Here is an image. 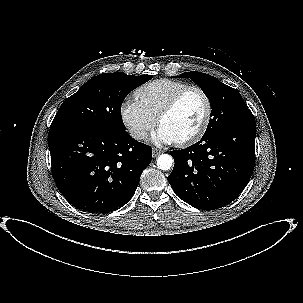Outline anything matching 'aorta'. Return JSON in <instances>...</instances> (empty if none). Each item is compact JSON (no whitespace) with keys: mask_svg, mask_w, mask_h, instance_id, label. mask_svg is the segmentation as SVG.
<instances>
[{"mask_svg":"<svg viewBox=\"0 0 303 303\" xmlns=\"http://www.w3.org/2000/svg\"><path fill=\"white\" fill-rule=\"evenodd\" d=\"M173 158L171 155L169 154H161L158 158H157V166L159 169L166 171L169 170L172 165H173Z\"/></svg>","mask_w":303,"mask_h":303,"instance_id":"aorta-1","label":"aorta"}]
</instances>
